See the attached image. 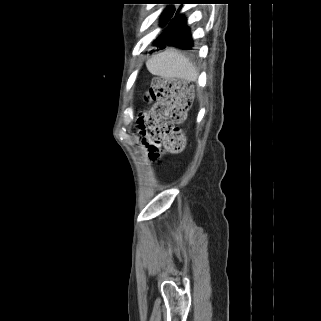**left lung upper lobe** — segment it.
Instances as JSON below:
<instances>
[{"instance_id": "5c2ea615", "label": "left lung upper lobe", "mask_w": 321, "mask_h": 321, "mask_svg": "<svg viewBox=\"0 0 321 321\" xmlns=\"http://www.w3.org/2000/svg\"><path fill=\"white\" fill-rule=\"evenodd\" d=\"M161 1V3L163 4H179L182 0H159ZM175 12V9L173 7V5H169L167 6L164 11L161 14V27L163 28L161 34L158 36V38L155 41L160 40L163 35L164 32L166 30V28H164L166 26V24L169 22V20L171 19V17L173 16Z\"/></svg>"}]
</instances>
